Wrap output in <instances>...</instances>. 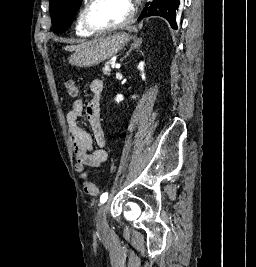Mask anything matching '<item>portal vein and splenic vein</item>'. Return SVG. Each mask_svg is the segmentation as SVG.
Segmentation results:
<instances>
[{
	"label": "portal vein and splenic vein",
	"mask_w": 256,
	"mask_h": 267,
	"mask_svg": "<svg viewBox=\"0 0 256 267\" xmlns=\"http://www.w3.org/2000/svg\"><path fill=\"white\" fill-rule=\"evenodd\" d=\"M112 68H117V62H114V64H112Z\"/></svg>",
	"instance_id": "18ae733b"
}]
</instances>
